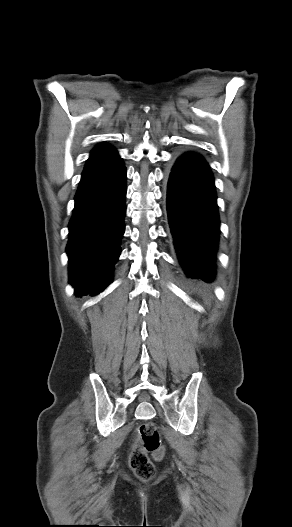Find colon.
Instances as JSON below:
<instances>
[{"label": "colon", "instance_id": "5ec220e1", "mask_svg": "<svg viewBox=\"0 0 292 527\" xmlns=\"http://www.w3.org/2000/svg\"><path fill=\"white\" fill-rule=\"evenodd\" d=\"M139 439L130 455V466L141 480H150L155 475V466L148 453L159 447V434L152 423H144L139 427Z\"/></svg>", "mask_w": 292, "mask_h": 527}]
</instances>
